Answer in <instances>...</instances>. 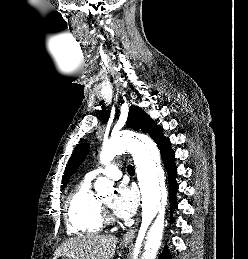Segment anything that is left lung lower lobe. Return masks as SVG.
<instances>
[{"instance_id":"left-lung-lower-lobe-1","label":"left lung lower lobe","mask_w":248,"mask_h":259,"mask_svg":"<svg viewBox=\"0 0 248 259\" xmlns=\"http://www.w3.org/2000/svg\"><path fill=\"white\" fill-rule=\"evenodd\" d=\"M158 148L161 151L163 162L166 166V169L168 171L169 175V185H170V204H171V210L175 209L177 207V203L175 200V194L178 190V184L175 181V177L177 174V168L174 164L175 159V153L170 149V141L166 140L161 145L158 146ZM159 259H171L170 253L167 249V246H165L161 256Z\"/></svg>"}]
</instances>
